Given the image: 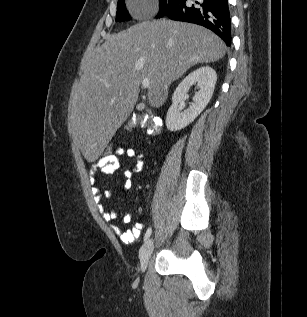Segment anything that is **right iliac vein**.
Returning a JSON list of instances; mask_svg holds the SVG:
<instances>
[{"label": "right iliac vein", "mask_w": 307, "mask_h": 317, "mask_svg": "<svg viewBox=\"0 0 307 317\" xmlns=\"http://www.w3.org/2000/svg\"><path fill=\"white\" fill-rule=\"evenodd\" d=\"M154 249L153 240L149 239L145 242V244L141 247L139 257H140V267L144 272L147 268L148 262L152 256Z\"/></svg>", "instance_id": "63e3f726"}]
</instances>
